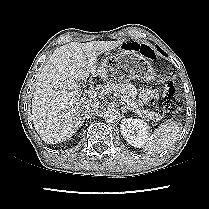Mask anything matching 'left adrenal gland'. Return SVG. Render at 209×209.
I'll use <instances>...</instances> for the list:
<instances>
[{"mask_svg":"<svg viewBox=\"0 0 209 209\" xmlns=\"http://www.w3.org/2000/svg\"><path fill=\"white\" fill-rule=\"evenodd\" d=\"M121 104H122V113H125L128 108L124 102H121Z\"/></svg>","mask_w":209,"mask_h":209,"instance_id":"obj_1","label":"left adrenal gland"}]
</instances>
